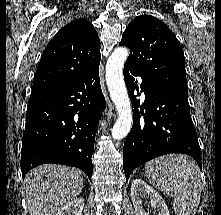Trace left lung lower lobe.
Here are the masks:
<instances>
[{"instance_id": "obj_1", "label": "left lung lower lobe", "mask_w": 221, "mask_h": 215, "mask_svg": "<svg viewBox=\"0 0 221 215\" xmlns=\"http://www.w3.org/2000/svg\"><path fill=\"white\" fill-rule=\"evenodd\" d=\"M124 80L133 109V126L124 142L123 168L128 180L136 167L158 156L183 153L192 156L201 167V152L190 116L187 95L166 88L124 65ZM142 78L144 104L136 99V77ZM139 93H137V96Z\"/></svg>"}]
</instances>
